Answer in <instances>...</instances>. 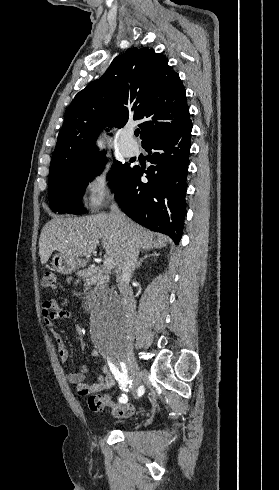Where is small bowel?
Masks as SVG:
<instances>
[{
	"mask_svg": "<svg viewBox=\"0 0 279 490\" xmlns=\"http://www.w3.org/2000/svg\"><path fill=\"white\" fill-rule=\"evenodd\" d=\"M41 315L44 323L48 326L52 325L57 320L73 318L72 312L59 305L55 300H50L43 303ZM54 341L57 346L60 361L62 363L68 362L71 354L64 339L59 334H54ZM92 355L96 356L97 352L94 351ZM88 372V367L86 365H82L79 371L71 372L68 375V381L75 385V389L78 394H95L113 386L114 379L108 367L104 366L102 369V374L98 380L90 384L85 383Z\"/></svg>",
	"mask_w": 279,
	"mask_h": 490,
	"instance_id": "small-bowel-1",
	"label": "small bowel"
}]
</instances>
